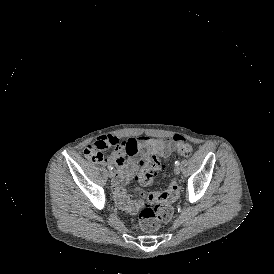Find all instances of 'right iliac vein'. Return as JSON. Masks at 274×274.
Returning <instances> with one entry per match:
<instances>
[{
  "label": "right iliac vein",
  "instance_id": "63e3f726",
  "mask_svg": "<svg viewBox=\"0 0 274 274\" xmlns=\"http://www.w3.org/2000/svg\"><path fill=\"white\" fill-rule=\"evenodd\" d=\"M108 175L111 178L112 183L114 184L116 182L115 173L113 171H110Z\"/></svg>",
  "mask_w": 274,
  "mask_h": 274
}]
</instances>
